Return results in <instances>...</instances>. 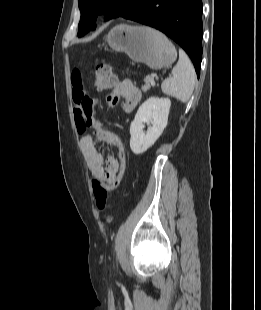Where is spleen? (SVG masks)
Wrapping results in <instances>:
<instances>
[{
    "mask_svg": "<svg viewBox=\"0 0 261 310\" xmlns=\"http://www.w3.org/2000/svg\"><path fill=\"white\" fill-rule=\"evenodd\" d=\"M195 82L196 72L191 61L183 50H179L178 63L172 69L171 76L162 82V92L186 103L193 93Z\"/></svg>",
    "mask_w": 261,
    "mask_h": 310,
    "instance_id": "1",
    "label": "spleen"
}]
</instances>
